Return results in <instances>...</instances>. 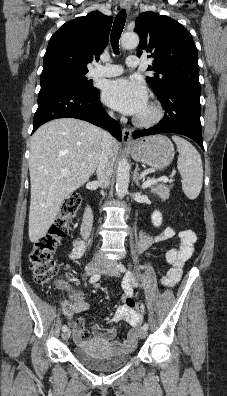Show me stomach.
<instances>
[{"label": "stomach", "instance_id": "0dacf381", "mask_svg": "<svg viewBox=\"0 0 227 396\" xmlns=\"http://www.w3.org/2000/svg\"><path fill=\"white\" fill-rule=\"evenodd\" d=\"M132 157L143 164L161 170L174 158L172 142L163 135L146 137L131 148Z\"/></svg>", "mask_w": 227, "mask_h": 396}]
</instances>
